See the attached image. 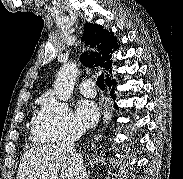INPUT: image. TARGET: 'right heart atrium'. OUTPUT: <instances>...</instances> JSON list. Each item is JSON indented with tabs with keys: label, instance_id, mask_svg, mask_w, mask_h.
Listing matches in <instances>:
<instances>
[{
	"label": "right heart atrium",
	"instance_id": "1",
	"mask_svg": "<svg viewBox=\"0 0 183 179\" xmlns=\"http://www.w3.org/2000/svg\"><path fill=\"white\" fill-rule=\"evenodd\" d=\"M82 126L69 106L49 96L34 120V134L45 140L58 141L69 134L80 132Z\"/></svg>",
	"mask_w": 183,
	"mask_h": 179
}]
</instances>
